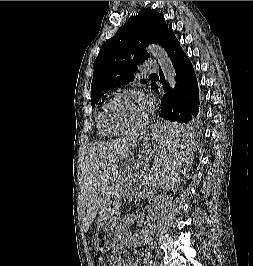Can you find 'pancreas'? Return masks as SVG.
<instances>
[{
    "mask_svg": "<svg viewBox=\"0 0 253 266\" xmlns=\"http://www.w3.org/2000/svg\"><path fill=\"white\" fill-rule=\"evenodd\" d=\"M148 180L143 181L144 185H154L155 184V178L151 177V178H147ZM136 182V179L134 178V175L131 176H127L124 180V196H126L128 201H134L137 202L145 197H147L146 193H142L140 194V192H142L141 190V186L136 187V188H132V183ZM119 234V233H118Z\"/></svg>",
    "mask_w": 253,
    "mask_h": 266,
    "instance_id": "pancreas-1",
    "label": "pancreas"
}]
</instances>
